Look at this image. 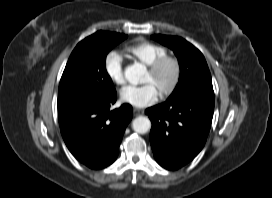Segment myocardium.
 <instances>
[{
	"label": "myocardium",
	"mask_w": 272,
	"mask_h": 198,
	"mask_svg": "<svg viewBox=\"0 0 272 198\" xmlns=\"http://www.w3.org/2000/svg\"><path fill=\"white\" fill-rule=\"evenodd\" d=\"M167 66L172 68L173 76L170 83L159 93L161 98L170 96L176 90L181 78L180 61L174 56L165 55L148 65V71L152 76L158 75Z\"/></svg>",
	"instance_id": "obj_1"
}]
</instances>
